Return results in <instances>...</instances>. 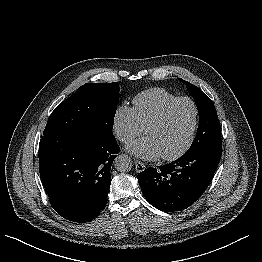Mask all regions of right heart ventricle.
Listing matches in <instances>:
<instances>
[{
    "label": "right heart ventricle",
    "mask_w": 262,
    "mask_h": 262,
    "mask_svg": "<svg viewBox=\"0 0 262 262\" xmlns=\"http://www.w3.org/2000/svg\"><path fill=\"white\" fill-rule=\"evenodd\" d=\"M178 98L164 88H151L137 94L133 100V111L143 128L158 115L169 102Z\"/></svg>",
    "instance_id": "e07e8e85"
}]
</instances>
